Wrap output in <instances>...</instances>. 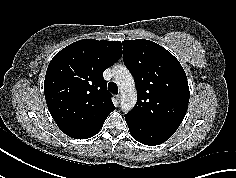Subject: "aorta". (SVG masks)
I'll return each instance as SVG.
<instances>
[{"label":"aorta","mask_w":236,"mask_h":178,"mask_svg":"<svg viewBox=\"0 0 236 178\" xmlns=\"http://www.w3.org/2000/svg\"><path fill=\"white\" fill-rule=\"evenodd\" d=\"M114 78L121 91V109L129 112L136 104L135 81L129 70L122 65L115 66L113 69Z\"/></svg>","instance_id":"obj_1"}]
</instances>
